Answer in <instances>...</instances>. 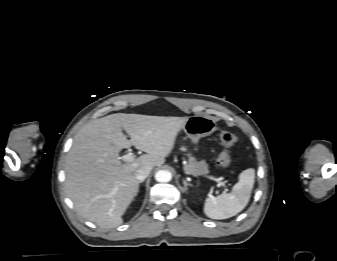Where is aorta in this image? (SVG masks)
I'll use <instances>...</instances> for the list:
<instances>
[{"label": "aorta", "mask_w": 337, "mask_h": 261, "mask_svg": "<svg viewBox=\"0 0 337 261\" xmlns=\"http://www.w3.org/2000/svg\"><path fill=\"white\" fill-rule=\"evenodd\" d=\"M155 179L158 182H169L172 179V175L169 171L167 170H159L155 174Z\"/></svg>", "instance_id": "1"}]
</instances>
